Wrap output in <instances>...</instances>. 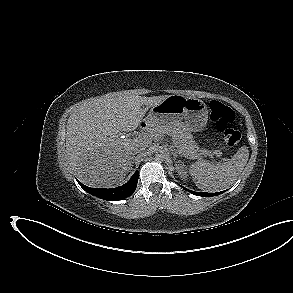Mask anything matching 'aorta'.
Here are the masks:
<instances>
[{"mask_svg":"<svg viewBox=\"0 0 293 293\" xmlns=\"http://www.w3.org/2000/svg\"><path fill=\"white\" fill-rule=\"evenodd\" d=\"M166 154H167V149L162 146L157 147V149L155 150V155L158 157H164L166 156Z\"/></svg>","mask_w":293,"mask_h":293,"instance_id":"obj_1","label":"aorta"}]
</instances>
